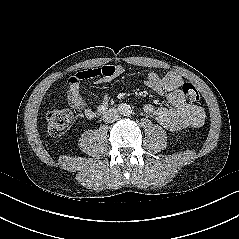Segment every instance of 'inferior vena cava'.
Segmentation results:
<instances>
[{"mask_svg": "<svg viewBox=\"0 0 239 239\" xmlns=\"http://www.w3.org/2000/svg\"><path fill=\"white\" fill-rule=\"evenodd\" d=\"M119 118V113L117 109H109L105 112V114L103 115V121L105 123H112L116 120H118Z\"/></svg>", "mask_w": 239, "mask_h": 239, "instance_id": "inferior-vena-cava-1", "label": "inferior vena cava"}]
</instances>
